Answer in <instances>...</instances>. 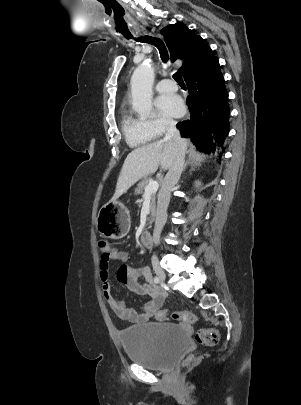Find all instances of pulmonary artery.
<instances>
[{"instance_id": "1", "label": "pulmonary artery", "mask_w": 301, "mask_h": 405, "mask_svg": "<svg viewBox=\"0 0 301 405\" xmlns=\"http://www.w3.org/2000/svg\"><path fill=\"white\" fill-rule=\"evenodd\" d=\"M155 89L159 93H171L177 91L178 87L172 80L164 79L156 84Z\"/></svg>"}]
</instances>
